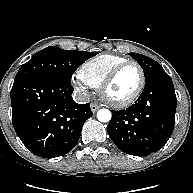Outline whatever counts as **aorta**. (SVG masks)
Listing matches in <instances>:
<instances>
[{"instance_id":"1","label":"aorta","mask_w":193,"mask_h":193,"mask_svg":"<svg viewBox=\"0 0 193 193\" xmlns=\"http://www.w3.org/2000/svg\"><path fill=\"white\" fill-rule=\"evenodd\" d=\"M97 119L100 122H108L111 119V112L108 109H100L97 112Z\"/></svg>"}]
</instances>
